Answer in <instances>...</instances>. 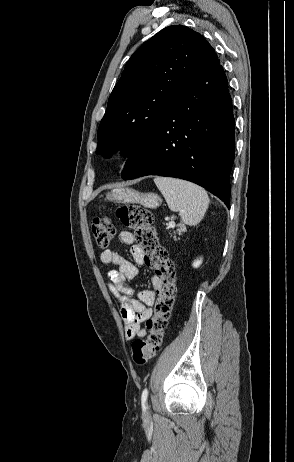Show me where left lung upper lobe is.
<instances>
[{
  "label": "left lung upper lobe",
  "mask_w": 294,
  "mask_h": 462,
  "mask_svg": "<svg viewBox=\"0 0 294 462\" xmlns=\"http://www.w3.org/2000/svg\"><path fill=\"white\" fill-rule=\"evenodd\" d=\"M219 63L207 40L186 26L166 27L144 42L109 97L98 128V152L110 157L120 149L132 155L154 134L178 95Z\"/></svg>",
  "instance_id": "obj_1"
}]
</instances>
